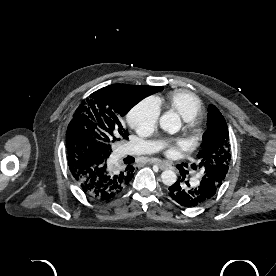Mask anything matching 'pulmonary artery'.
Here are the masks:
<instances>
[{
  "label": "pulmonary artery",
  "instance_id": "e3ab8cb5",
  "mask_svg": "<svg viewBox=\"0 0 276 276\" xmlns=\"http://www.w3.org/2000/svg\"><path fill=\"white\" fill-rule=\"evenodd\" d=\"M161 148V145L154 142H138V143H130L124 148V153L129 154H141V153H153ZM197 181V178L194 179Z\"/></svg>",
  "mask_w": 276,
  "mask_h": 276
}]
</instances>
